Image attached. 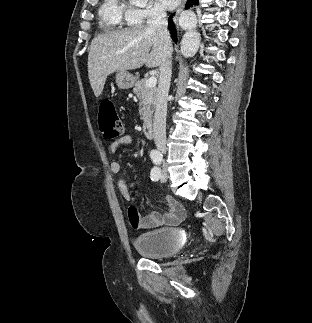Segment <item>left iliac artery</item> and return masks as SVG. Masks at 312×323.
<instances>
[{
    "mask_svg": "<svg viewBox=\"0 0 312 323\" xmlns=\"http://www.w3.org/2000/svg\"><path fill=\"white\" fill-rule=\"evenodd\" d=\"M153 161H154L155 164L159 163L158 159H153ZM159 177H160V170H159V168L154 167L151 170V180L157 181L159 179Z\"/></svg>",
    "mask_w": 312,
    "mask_h": 323,
    "instance_id": "44dca946",
    "label": "left iliac artery"
}]
</instances>
